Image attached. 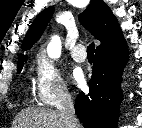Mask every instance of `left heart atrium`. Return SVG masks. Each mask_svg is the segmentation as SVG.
<instances>
[{
  "label": "left heart atrium",
  "instance_id": "obj_1",
  "mask_svg": "<svg viewBox=\"0 0 142 128\" xmlns=\"http://www.w3.org/2000/svg\"><path fill=\"white\" fill-rule=\"evenodd\" d=\"M73 78L78 84H81L84 82V75L80 69H77V68L74 69Z\"/></svg>",
  "mask_w": 142,
  "mask_h": 128
}]
</instances>
